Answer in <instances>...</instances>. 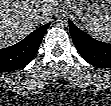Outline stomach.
<instances>
[{
	"label": "stomach",
	"mask_w": 111,
	"mask_h": 106,
	"mask_svg": "<svg viewBox=\"0 0 111 106\" xmlns=\"http://www.w3.org/2000/svg\"><path fill=\"white\" fill-rule=\"evenodd\" d=\"M67 6L83 21L103 20L111 12V1L108 0H69Z\"/></svg>",
	"instance_id": "obj_1"
}]
</instances>
